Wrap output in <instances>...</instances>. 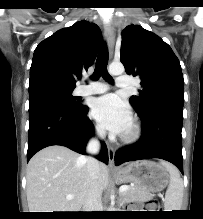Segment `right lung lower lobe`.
Segmentation results:
<instances>
[{
    "instance_id": "1",
    "label": "right lung lower lobe",
    "mask_w": 203,
    "mask_h": 219,
    "mask_svg": "<svg viewBox=\"0 0 203 219\" xmlns=\"http://www.w3.org/2000/svg\"><path fill=\"white\" fill-rule=\"evenodd\" d=\"M88 107L71 108L50 98H35L29 101V138L27 161L39 150L62 145L85 154V146L93 135L92 122L87 118ZM97 158L108 163L106 145Z\"/></svg>"
}]
</instances>
